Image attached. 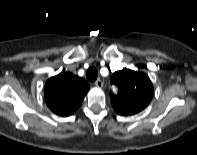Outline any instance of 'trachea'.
Here are the masks:
<instances>
[{"label":"trachea","instance_id":"obj_1","mask_svg":"<svg viewBox=\"0 0 197 155\" xmlns=\"http://www.w3.org/2000/svg\"><path fill=\"white\" fill-rule=\"evenodd\" d=\"M98 77V70L95 67H90L86 72V78L90 82H94Z\"/></svg>","mask_w":197,"mask_h":155}]
</instances>
